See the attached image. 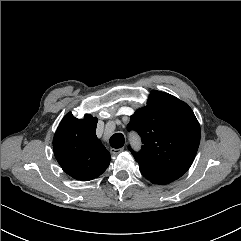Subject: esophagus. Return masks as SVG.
<instances>
[{"mask_svg":"<svg viewBox=\"0 0 241 241\" xmlns=\"http://www.w3.org/2000/svg\"><path fill=\"white\" fill-rule=\"evenodd\" d=\"M123 150H124V148H119V149L111 148L110 153L115 156V155H118L119 153H121Z\"/></svg>","mask_w":241,"mask_h":241,"instance_id":"1","label":"esophagus"}]
</instances>
